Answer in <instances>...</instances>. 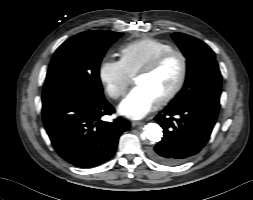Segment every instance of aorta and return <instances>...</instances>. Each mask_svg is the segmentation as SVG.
<instances>
[{
  "label": "aorta",
  "instance_id": "aorta-1",
  "mask_svg": "<svg viewBox=\"0 0 253 200\" xmlns=\"http://www.w3.org/2000/svg\"><path fill=\"white\" fill-rule=\"evenodd\" d=\"M162 128L156 123H148L144 127V131L141 134L143 139H148L152 142H158L162 138Z\"/></svg>",
  "mask_w": 253,
  "mask_h": 200
}]
</instances>
